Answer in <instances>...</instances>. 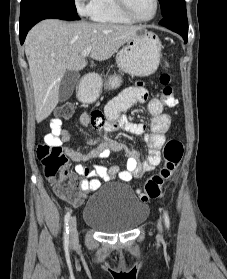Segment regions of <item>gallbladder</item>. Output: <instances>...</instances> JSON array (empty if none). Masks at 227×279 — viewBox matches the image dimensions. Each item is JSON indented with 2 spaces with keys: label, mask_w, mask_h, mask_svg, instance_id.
Returning a JSON list of instances; mask_svg holds the SVG:
<instances>
[{
  "label": "gallbladder",
  "mask_w": 227,
  "mask_h": 279,
  "mask_svg": "<svg viewBox=\"0 0 227 279\" xmlns=\"http://www.w3.org/2000/svg\"><path fill=\"white\" fill-rule=\"evenodd\" d=\"M79 78L80 74L76 71L67 70L64 73L59 87L60 101H66L71 97Z\"/></svg>",
  "instance_id": "gallbladder-1"
}]
</instances>
